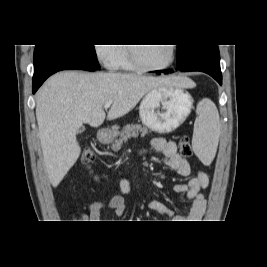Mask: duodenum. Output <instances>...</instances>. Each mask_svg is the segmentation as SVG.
Returning <instances> with one entry per match:
<instances>
[{"mask_svg":"<svg viewBox=\"0 0 267 267\" xmlns=\"http://www.w3.org/2000/svg\"><path fill=\"white\" fill-rule=\"evenodd\" d=\"M109 137V132L106 129L101 130L100 138L101 140H106Z\"/></svg>","mask_w":267,"mask_h":267,"instance_id":"1","label":"duodenum"}]
</instances>
